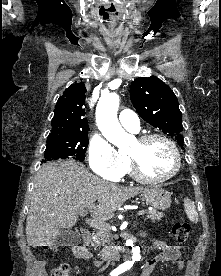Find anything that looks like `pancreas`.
I'll return each mask as SVG.
<instances>
[{
	"mask_svg": "<svg viewBox=\"0 0 221 276\" xmlns=\"http://www.w3.org/2000/svg\"><path fill=\"white\" fill-rule=\"evenodd\" d=\"M163 217V214L157 213L155 211L147 212L146 218L150 219L152 221H160ZM110 228L109 227H103L99 232H97L93 238L91 245L96 246H103L105 249H109V247L106 245L107 243H110Z\"/></svg>",
	"mask_w": 221,
	"mask_h": 276,
	"instance_id": "pancreas-1",
	"label": "pancreas"
}]
</instances>
